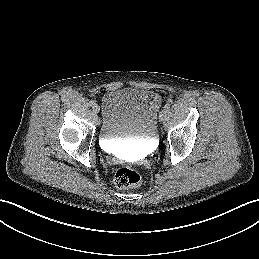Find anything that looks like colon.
Wrapping results in <instances>:
<instances>
[{
  "label": "colon",
  "instance_id": "5ec220e1",
  "mask_svg": "<svg viewBox=\"0 0 259 259\" xmlns=\"http://www.w3.org/2000/svg\"><path fill=\"white\" fill-rule=\"evenodd\" d=\"M141 177L139 173L128 166L118 168L114 174V184L118 188H133L139 186Z\"/></svg>",
  "mask_w": 259,
  "mask_h": 259
}]
</instances>
